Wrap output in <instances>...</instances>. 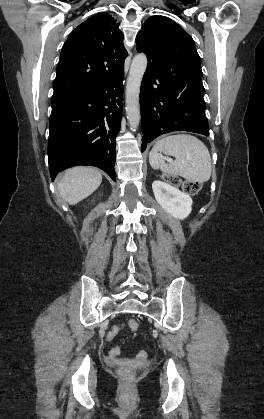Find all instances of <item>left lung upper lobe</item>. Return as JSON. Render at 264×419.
I'll return each instance as SVG.
<instances>
[{"label": "left lung upper lobe", "mask_w": 264, "mask_h": 419, "mask_svg": "<svg viewBox=\"0 0 264 419\" xmlns=\"http://www.w3.org/2000/svg\"><path fill=\"white\" fill-rule=\"evenodd\" d=\"M137 50L164 78H176L186 84L202 82L200 57L195 43L177 23L165 16H152L136 37Z\"/></svg>", "instance_id": "1"}]
</instances>
